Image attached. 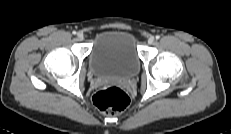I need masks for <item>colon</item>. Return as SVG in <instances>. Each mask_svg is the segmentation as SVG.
Here are the masks:
<instances>
[{
  "instance_id": "1",
  "label": "colon",
  "mask_w": 231,
  "mask_h": 134,
  "mask_svg": "<svg viewBox=\"0 0 231 134\" xmlns=\"http://www.w3.org/2000/svg\"><path fill=\"white\" fill-rule=\"evenodd\" d=\"M93 103L102 113L117 115L129 105L127 93L118 86H107L95 93Z\"/></svg>"
}]
</instances>
